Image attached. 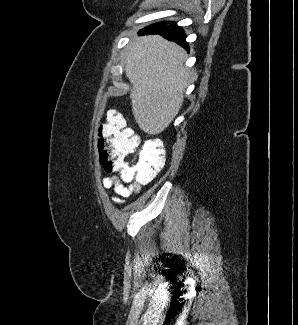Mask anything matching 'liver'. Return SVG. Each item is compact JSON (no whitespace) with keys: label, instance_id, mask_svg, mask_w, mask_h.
Returning a JSON list of instances; mask_svg holds the SVG:
<instances>
[{"label":"liver","instance_id":"1","mask_svg":"<svg viewBox=\"0 0 298 325\" xmlns=\"http://www.w3.org/2000/svg\"><path fill=\"white\" fill-rule=\"evenodd\" d=\"M134 38L128 44L124 68L132 84V114L141 130L160 134L183 104L189 76L186 52L160 34Z\"/></svg>","mask_w":298,"mask_h":325}]
</instances>
